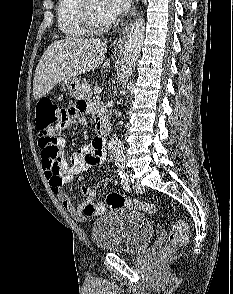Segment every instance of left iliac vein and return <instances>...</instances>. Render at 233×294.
<instances>
[{
    "label": "left iliac vein",
    "mask_w": 233,
    "mask_h": 294,
    "mask_svg": "<svg viewBox=\"0 0 233 294\" xmlns=\"http://www.w3.org/2000/svg\"><path fill=\"white\" fill-rule=\"evenodd\" d=\"M132 173L131 172H127L126 173V176H127V180L131 177ZM133 189L136 191V192H141L143 190V188L140 186V184H134L133 185Z\"/></svg>",
    "instance_id": "obj_1"
}]
</instances>
